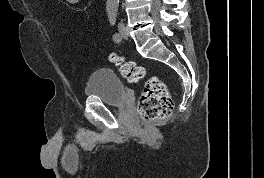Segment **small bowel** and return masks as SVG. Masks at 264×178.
I'll use <instances>...</instances> for the list:
<instances>
[{
  "instance_id": "small-bowel-1",
  "label": "small bowel",
  "mask_w": 264,
  "mask_h": 178,
  "mask_svg": "<svg viewBox=\"0 0 264 178\" xmlns=\"http://www.w3.org/2000/svg\"><path fill=\"white\" fill-rule=\"evenodd\" d=\"M66 2L72 7H77L81 3V0H66Z\"/></svg>"
}]
</instances>
